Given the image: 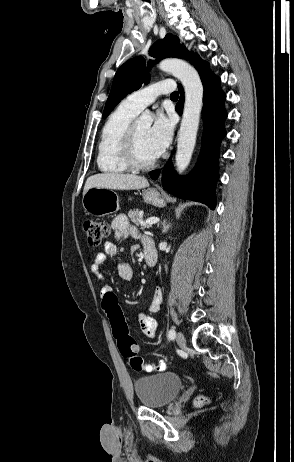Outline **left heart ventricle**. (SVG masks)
<instances>
[{
    "label": "left heart ventricle",
    "mask_w": 294,
    "mask_h": 462,
    "mask_svg": "<svg viewBox=\"0 0 294 462\" xmlns=\"http://www.w3.org/2000/svg\"><path fill=\"white\" fill-rule=\"evenodd\" d=\"M148 132L149 126L135 125L136 152L138 159L142 162H148L157 156L150 144Z\"/></svg>",
    "instance_id": "b2bd125f"
}]
</instances>
